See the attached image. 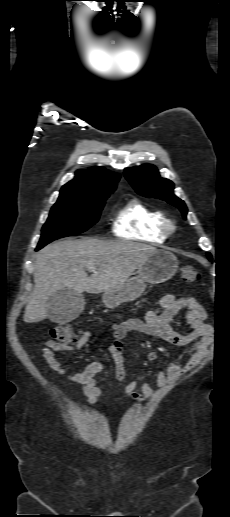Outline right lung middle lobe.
I'll list each match as a JSON object with an SVG mask.
<instances>
[{
  "label": "right lung middle lobe",
  "instance_id": "1",
  "mask_svg": "<svg viewBox=\"0 0 230 517\" xmlns=\"http://www.w3.org/2000/svg\"><path fill=\"white\" fill-rule=\"evenodd\" d=\"M112 192H105L98 197L75 200L58 199L42 228L38 243L39 248L53 240L80 234L94 225L100 216L105 200Z\"/></svg>",
  "mask_w": 230,
  "mask_h": 517
}]
</instances>
